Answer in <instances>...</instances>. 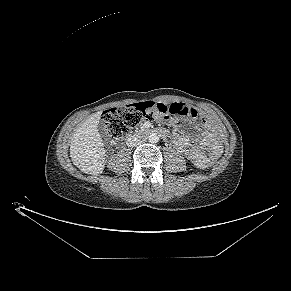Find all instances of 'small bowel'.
<instances>
[{
  "label": "small bowel",
  "instance_id": "small-bowel-1",
  "mask_svg": "<svg viewBox=\"0 0 291 291\" xmlns=\"http://www.w3.org/2000/svg\"><path fill=\"white\" fill-rule=\"evenodd\" d=\"M168 123L172 127L180 130L183 129L185 125H191L190 122H182L176 118H170ZM146 125H150V122H147ZM196 128L200 133L197 145L191 144L183 135H174L172 141L176 148L196 167L205 168L208 163V158L204 151H209L211 154L218 156L222 152V146L219 135L210 122L202 121Z\"/></svg>",
  "mask_w": 291,
  "mask_h": 291
}]
</instances>
